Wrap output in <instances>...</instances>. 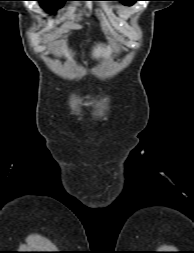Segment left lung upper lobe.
Returning a JSON list of instances; mask_svg holds the SVG:
<instances>
[{
	"mask_svg": "<svg viewBox=\"0 0 194 253\" xmlns=\"http://www.w3.org/2000/svg\"><path fill=\"white\" fill-rule=\"evenodd\" d=\"M125 5H133L136 1L139 0H121Z\"/></svg>",
	"mask_w": 194,
	"mask_h": 253,
	"instance_id": "obj_1",
	"label": "left lung upper lobe"
}]
</instances>
